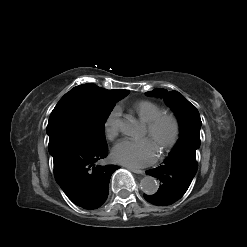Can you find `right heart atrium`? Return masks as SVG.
<instances>
[{"mask_svg":"<svg viewBox=\"0 0 247 247\" xmlns=\"http://www.w3.org/2000/svg\"><path fill=\"white\" fill-rule=\"evenodd\" d=\"M121 109L115 106L107 115L104 121V134L106 138L113 141L119 134Z\"/></svg>","mask_w":247,"mask_h":247,"instance_id":"right-heart-atrium-1","label":"right heart atrium"}]
</instances>
